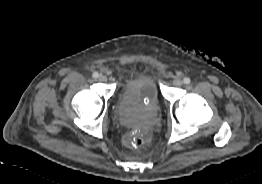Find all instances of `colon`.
<instances>
[{
	"instance_id": "obj_1",
	"label": "colon",
	"mask_w": 262,
	"mask_h": 184,
	"mask_svg": "<svg viewBox=\"0 0 262 184\" xmlns=\"http://www.w3.org/2000/svg\"><path fill=\"white\" fill-rule=\"evenodd\" d=\"M126 143L129 146L140 148L146 144V139L140 134H134L127 138Z\"/></svg>"
}]
</instances>
